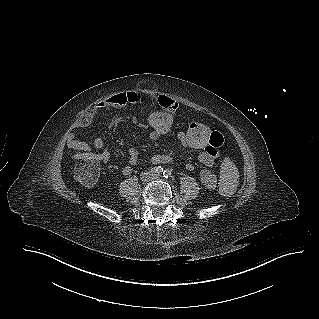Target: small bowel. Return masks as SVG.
I'll return each mask as SVG.
<instances>
[{
    "label": "small bowel",
    "instance_id": "1",
    "mask_svg": "<svg viewBox=\"0 0 319 319\" xmlns=\"http://www.w3.org/2000/svg\"><path fill=\"white\" fill-rule=\"evenodd\" d=\"M143 102V95L140 91H126L121 92L115 95H112L94 107L86 110L78 119L75 124L74 131L70 132L67 137V146L69 149L74 150H90L93 148L97 150L94 156L103 162H106L110 159V151L105 146L104 140L102 137H96L92 142V147H90L87 143L79 141L75 138V131H86L88 130L95 117L103 112L108 111L111 109H117L124 107L126 105H136L141 104ZM156 107L163 108L165 113H176L177 111V100L176 99H169L165 96H159L156 100ZM153 114V113H152ZM151 117V116H150ZM173 117V116H172ZM149 137L151 139H158L163 134L155 133L150 127V119H149ZM183 132H179L177 134V139L181 143L182 146L188 147L182 137ZM210 144L206 149L200 150L198 153V160L205 166L204 169L200 172V178L203 185L208 189H215L217 187L218 178L216 174L210 169L214 161L220 156V150L224 148V138H223V131L222 129H211L210 131ZM129 155V165L124 168V173L129 174L131 173L133 166L137 164L138 160V151L136 148H129L128 149ZM172 161V158L168 155H155L151 158V162L154 164L159 163H169ZM186 169L189 171H193L195 166L193 163H187Z\"/></svg>",
    "mask_w": 319,
    "mask_h": 319
}]
</instances>
